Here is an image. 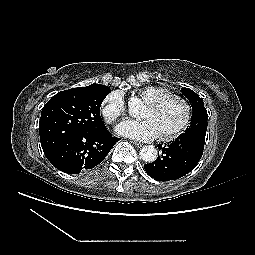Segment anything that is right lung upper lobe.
Returning a JSON list of instances; mask_svg holds the SVG:
<instances>
[{
    "label": "right lung upper lobe",
    "mask_w": 255,
    "mask_h": 255,
    "mask_svg": "<svg viewBox=\"0 0 255 255\" xmlns=\"http://www.w3.org/2000/svg\"><path fill=\"white\" fill-rule=\"evenodd\" d=\"M91 86H105V85H100V84H92Z\"/></svg>",
    "instance_id": "obj_1"
}]
</instances>
